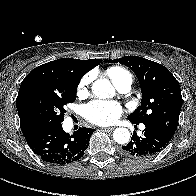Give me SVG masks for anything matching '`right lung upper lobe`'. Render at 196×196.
<instances>
[{"label": "right lung upper lobe", "instance_id": "obj_1", "mask_svg": "<svg viewBox=\"0 0 196 196\" xmlns=\"http://www.w3.org/2000/svg\"><path fill=\"white\" fill-rule=\"evenodd\" d=\"M101 62V59L79 60L61 58L38 66L24 78L16 99V106L25 139H28L37 131L29 122L21 108L22 99L28 90L38 85H47L51 83L79 84L84 74Z\"/></svg>", "mask_w": 196, "mask_h": 196}]
</instances>
